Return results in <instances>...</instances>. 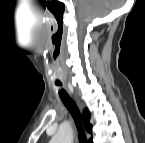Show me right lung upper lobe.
<instances>
[{
	"label": "right lung upper lobe",
	"instance_id": "obj_1",
	"mask_svg": "<svg viewBox=\"0 0 145 143\" xmlns=\"http://www.w3.org/2000/svg\"><path fill=\"white\" fill-rule=\"evenodd\" d=\"M82 119H83V123H84L85 128L87 129V131L89 133H91L92 132V126L89 124L90 113H89L88 110H85L83 112Z\"/></svg>",
	"mask_w": 145,
	"mask_h": 143
}]
</instances>
